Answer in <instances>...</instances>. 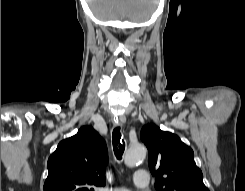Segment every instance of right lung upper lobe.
<instances>
[{
    "label": "right lung upper lobe",
    "mask_w": 245,
    "mask_h": 191,
    "mask_svg": "<svg viewBox=\"0 0 245 191\" xmlns=\"http://www.w3.org/2000/svg\"><path fill=\"white\" fill-rule=\"evenodd\" d=\"M108 163L104 139L92 128L62 140L48 159L44 191H94L105 185Z\"/></svg>",
    "instance_id": "obj_1"
}]
</instances>
